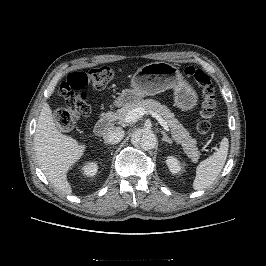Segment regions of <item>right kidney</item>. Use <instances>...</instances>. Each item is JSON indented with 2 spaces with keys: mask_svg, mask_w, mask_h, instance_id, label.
Returning <instances> with one entry per match:
<instances>
[{
  "mask_svg": "<svg viewBox=\"0 0 266 266\" xmlns=\"http://www.w3.org/2000/svg\"><path fill=\"white\" fill-rule=\"evenodd\" d=\"M82 172L87 177H93L98 170V165L96 162H88L82 167Z\"/></svg>",
  "mask_w": 266,
  "mask_h": 266,
  "instance_id": "ca27d5eb",
  "label": "right kidney"
}]
</instances>
